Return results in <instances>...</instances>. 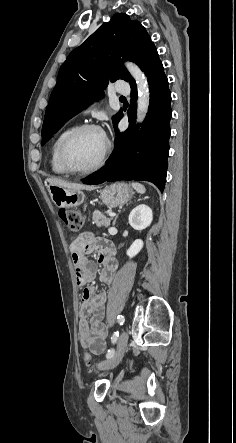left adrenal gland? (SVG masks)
Instances as JSON below:
<instances>
[{"mask_svg": "<svg viewBox=\"0 0 236 443\" xmlns=\"http://www.w3.org/2000/svg\"><path fill=\"white\" fill-rule=\"evenodd\" d=\"M117 217H118V216H116L115 219H114V221H113V226H114L115 223H116Z\"/></svg>", "mask_w": 236, "mask_h": 443, "instance_id": "a2214340", "label": "left adrenal gland"}]
</instances>
